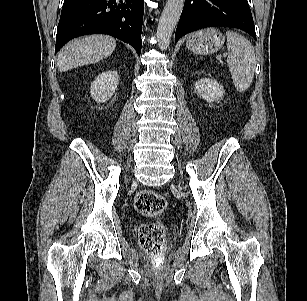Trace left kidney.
<instances>
[{
	"label": "left kidney",
	"instance_id": "obj_1",
	"mask_svg": "<svg viewBox=\"0 0 307 301\" xmlns=\"http://www.w3.org/2000/svg\"><path fill=\"white\" fill-rule=\"evenodd\" d=\"M195 90L207 102L218 101L224 94V89L214 79L202 78L196 81Z\"/></svg>",
	"mask_w": 307,
	"mask_h": 301
}]
</instances>
